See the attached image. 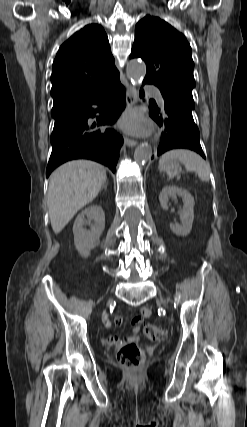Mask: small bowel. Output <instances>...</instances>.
<instances>
[{
    "label": "small bowel",
    "instance_id": "obj_1",
    "mask_svg": "<svg viewBox=\"0 0 247 427\" xmlns=\"http://www.w3.org/2000/svg\"><path fill=\"white\" fill-rule=\"evenodd\" d=\"M150 314H151V311L149 308H146V307L142 308L140 310V315L138 317L134 318L131 322V334L130 335L125 336L123 339H120L117 336H109L107 338V342L111 343V344L120 345V344L125 343V342L136 341L138 339V332H139V329H140V326H141L143 320L145 318H148L150 316ZM102 321H103V324L105 327H107V328L111 327L112 323H111L108 316H104ZM114 322L118 326L122 324L123 319H122V315L120 312L116 315Z\"/></svg>",
    "mask_w": 247,
    "mask_h": 427
}]
</instances>
